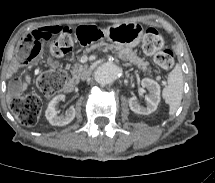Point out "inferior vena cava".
I'll list each match as a JSON object with an SVG mask.
<instances>
[{
    "label": "inferior vena cava",
    "mask_w": 215,
    "mask_h": 183,
    "mask_svg": "<svg viewBox=\"0 0 215 183\" xmlns=\"http://www.w3.org/2000/svg\"><path fill=\"white\" fill-rule=\"evenodd\" d=\"M91 71L90 70H84L80 76L81 80H86L90 77Z\"/></svg>",
    "instance_id": "1"
}]
</instances>
